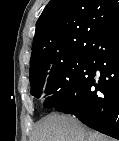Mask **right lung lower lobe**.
<instances>
[{
  "label": "right lung lower lobe",
  "instance_id": "obj_1",
  "mask_svg": "<svg viewBox=\"0 0 119 141\" xmlns=\"http://www.w3.org/2000/svg\"><path fill=\"white\" fill-rule=\"evenodd\" d=\"M88 58L90 67L75 91L55 109L119 140V19L108 25Z\"/></svg>",
  "mask_w": 119,
  "mask_h": 141
}]
</instances>
